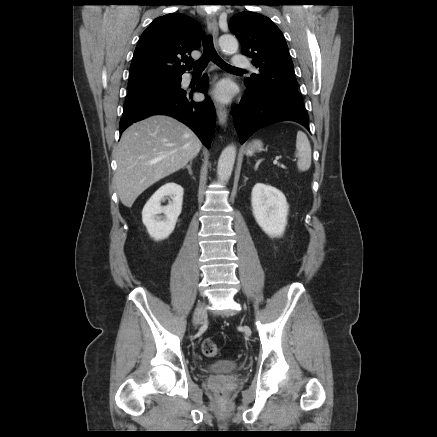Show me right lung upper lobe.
Here are the masks:
<instances>
[{
	"mask_svg": "<svg viewBox=\"0 0 437 437\" xmlns=\"http://www.w3.org/2000/svg\"><path fill=\"white\" fill-rule=\"evenodd\" d=\"M203 35L198 23L189 16L170 13L156 18L137 43L130 79L181 77L190 69L188 63L193 59L188 55L200 46Z\"/></svg>",
	"mask_w": 437,
	"mask_h": 437,
	"instance_id": "right-lung-upper-lobe-1",
	"label": "right lung upper lobe"
}]
</instances>
